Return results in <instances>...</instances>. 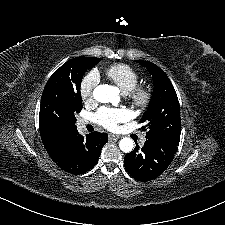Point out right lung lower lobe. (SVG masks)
I'll use <instances>...</instances> for the list:
<instances>
[{"instance_id":"obj_1","label":"right lung lower lobe","mask_w":225,"mask_h":225,"mask_svg":"<svg viewBox=\"0 0 225 225\" xmlns=\"http://www.w3.org/2000/svg\"><path fill=\"white\" fill-rule=\"evenodd\" d=\"M107 141L106 133L93 132L83 137L77 131L67 141L61 156L53 161L68 173L83 174L96 165Z\"/></svg>"}]
</instances>
